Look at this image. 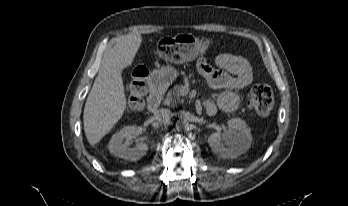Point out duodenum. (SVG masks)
I'll list each match as a JSON object with an SVG mask.
<instances>
[{
    "mask_svg": "<svg viewBox=\"0 0 348 206\" xmlns=\"http://www.w3.org/2000/svg\"><path fill=\"white\" fill-rule=\"evenodd\" d=\"M163 94H164V87L159 82H157L154 78H152L150 80V95L148 98V110L150 112L153 113L159 109Z\"/></svg>",
    "mask_w": 348,
    "mask_h": 206,
    "instance_id": "410a0bca",
    "label": "duodenum"
}]
</instances>
